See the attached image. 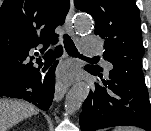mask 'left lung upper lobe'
<instances>
[{
  "label": "left lung upper lobe",
  "mask_w": 151,
  "mask_h": 131,
  "mask_svg": "<svg viewBox=\"0 0 151 131\" xmlns=\"http://www.w3.org/2000/svg\"><path fill=\"white\" fill-rule=\"evenodd\" d=\"M74 4L94 18L95 34L105 39L104 58L113 69L142 68L144 47L135 0H74ZM92 66L103 71L98 65Z\"/></svg>",
  "instance_id": "left-lung-upper-lobe-1"
}]
</instances>
